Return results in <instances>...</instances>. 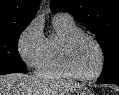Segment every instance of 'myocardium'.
I'll return each mask as SVG.
<instances>
[{
	"mask_svg": "<svg viewBox=\"0 0 119 95\" xmlns=\"http://www.w3.org/2000/svg\"><path fill=\"white\" fill-rule=\"evenodd\" d=\"M81 36L87 37L90 40H92L99 52V57H100L99 66L97 71L92 75H80L76 73L70 61L71 47L75 42V40ZM60 60H61L62 67L70 77L82 81H91L97 79L103 72L105 66V52L100 41L94 35H92L89 32L78 29L68 34L62 41L61 50H60Z\"/></svg>",
	"mask_w": 119,
	"mask_h": 95,
	"instance_id": "1",
	"label": "myocardium"
}]
</instances>
